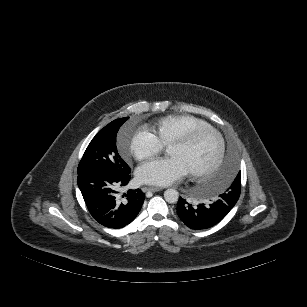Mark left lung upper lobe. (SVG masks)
Masks as SVG:
<instances>
[{
	"mask_svg": "<svg viewBox=\"0 0 307 307\" xmlns=\"http://www.w3.org/2000/svg\"><path fill=\"white\" fill-rule=\"evenodd\" d=\"M240 189H241V173L239 172L234 179L231 186L225 191V194L228 198L237 202L240 196Z\"/></svg>",
	"mask_w": 307,
	"mask_h": 307,
	"instance_id": "left-lung-upper-lobe-1",
	"label": "left lung upper lobe"
}]
</instances>
